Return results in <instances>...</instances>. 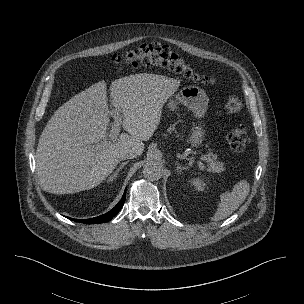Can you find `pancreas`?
Returning a JSON list of instances; mask_svg holds the SVG:
<instances>
[{
  "instance_id": "obj_1",
  "label": "pancreas",
  "mask_w": 304,
  "mask_h": 304,
  "mask_svg": "<svg viewBox=\"0 0 304 304\" xmlns=\"http://www.w3.org/2000/svg\"><path fill=\"white\" fill-rule=\"evenodd\" d=\"M217 156L213 153H209L206 155L205 160L209 163L210 168L213 171H220L223 167V164L221 162H218L216 160Z\"/></svg>"
}]
</instances>
